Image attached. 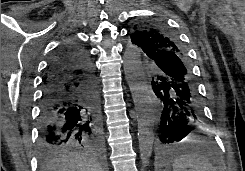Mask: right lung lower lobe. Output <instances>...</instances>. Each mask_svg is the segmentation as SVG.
<instances>
[{
  "mask_svg": "<svg viewBox=\"0 0 245 171\" xmlns=\"http://www.w3.org/2000/svg\"><path fill=\"white\" fill-rule=\"evenodd\" d=\"M45 147L101 144L99 94L92 61L78 43L63 46L46 73L39 115Z\"/></svg>",
  "mask_w": 245,
  "mask_h": 171,
  "instance_id": "obj_1",
  "label": "right lung lower lobe"
}]
</instances>
